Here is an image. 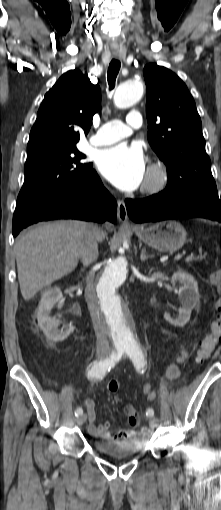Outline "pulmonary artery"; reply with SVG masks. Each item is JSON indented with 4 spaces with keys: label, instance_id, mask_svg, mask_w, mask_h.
<instances>
[{
    "label": "pulmonary artery",
    "instance_id": "pulmonary-artery-1",
    "mask_svg": "<svg viewBox=\"0 0 221 510\" xmlns=\"http://www.w3.org/2000/svg\"><path fill=\"white\" fill-rule=\"evenodd\" d=\"M141 123L139 112L132 111L128 115L126 124L117 120L106 122L91 136L90 141L96 146H106L116 143L130 136L134 129L141 126Z\"/></svg>",
    "mask_w": 221,
    "mask_h": 510
}]
</instances>
